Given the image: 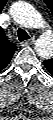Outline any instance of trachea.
<instances>
[{
  "instance_id": "3493384b",
  "label": "trachea",
  "mask_w": 53,
  "mask_h": 120,
  "mask_svg": "<svg viewBox=\"0 0 53 120\" xmlns=\"http://www.w3.org/2000/svg\"><path fill=\"white\" fill-rule=\"evenodd\" d=\"M17 36L19 41L28 40L30 37L24 29L19 28L17 31Z\"/></svg>"
}]
</instances>
